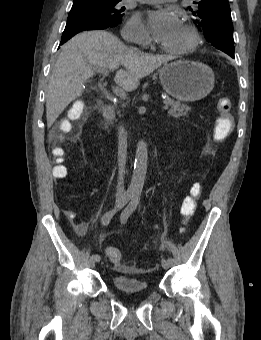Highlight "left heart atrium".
Returning <instances> with one entry per match:
<instances>
[{
    "label": "left heart atrium",
    "mask_w": 261,
    "mask_h": 340,
    "mask_svg": "<svg viewBox=\"0 0 261 340\" xmlns=\"http://www.w3.org/2000/svg\"><path fill=\"white\" fill-rule=\"evenodd\" d=\"M147 23L154 38L161 44L166 43L182 26L179 15L168 8L150 11Z\"/></svg>",
    "instance_id": "39dd6f15"
}]
</instances>
